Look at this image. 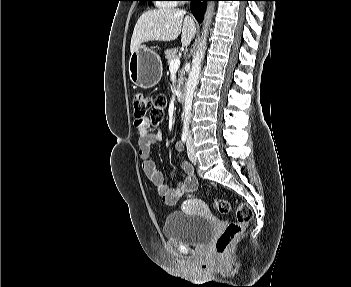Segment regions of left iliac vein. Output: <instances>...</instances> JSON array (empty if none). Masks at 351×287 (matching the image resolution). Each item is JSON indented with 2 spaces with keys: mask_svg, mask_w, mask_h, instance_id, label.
<instances>
[{
  "mask_svg": "<svg viewBox=\"0 0 351 287\" xmlns=\"http://www.w3.org/2000/svg\"><path fill=\"white\" fill-rule=\"evenodd\" d=\"M187 153H188V157H189L190 161L192 163H196L197 162V156L195 154V150H194V147H193V140H192V136L191 135L188 137V140H187Z\"/></svg>",
  "mask_w": 351,
  "mask_h": 287,
  "instance_id": "1",
  "label": "left iliac vein"
}]
</instances>
